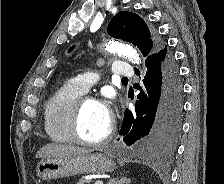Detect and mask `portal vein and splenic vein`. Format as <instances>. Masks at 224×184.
<instances>
[{
	"label": "portal vein and splenic vein",
	"instance_id": "obj_1",
	"mask_svg": "<svg viewBox=\"0 0 224 184\" xmlns=\"http://www.w3.org/2000/svg\"><path fill=\"white\" fill-rule=\"evenodd\" d=\"M94 184H103L102 181H96Z\"/></svg>",
	"mask_w": 224,
	"mask_h": 184
}]
</instances>
